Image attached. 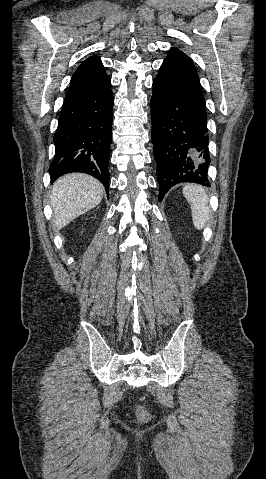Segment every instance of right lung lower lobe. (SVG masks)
<instances>
[{"instance_id":"1","label":"right lung lower lobe","mask_w":266,"mask_h":479,"mask_svg":"<svg viewBox=\"0 0 266 479\" xmlns=\"http://www.w3.org/2000/svg\"><path fill=\"white\" fill-rule=\"evenodd\" d=\"M113 103L106 73L70 83L53 139L51 183L66 173L84 172L100 180L108 194Z\"/></svg>"}]
</instances>
